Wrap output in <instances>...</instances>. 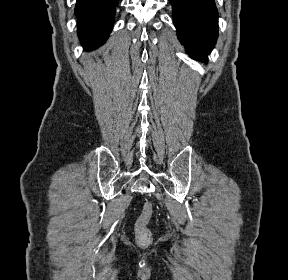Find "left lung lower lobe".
Returning a JSON list of instances; mask_svg holds the SVG:
<instances>
[{"instance_id":"1","label":"left lung lower lobe","mask_w":288,"mask_h":280,"mask_svg":"<svg viewBox=\"0 0 288 280\" xmlns=\"http://www.w3.org/2000/svg\"><path fill=\"white\" fill-rule=\"evenodd\" d=\"M180 42L196 60L207 61L218 37L214 0H169Z\"/></svg>"}]
</instances>
